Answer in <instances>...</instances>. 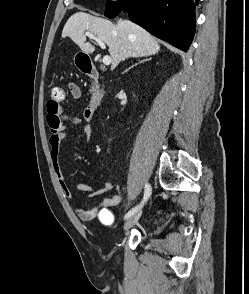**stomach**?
I'll return each mask as SVG.
<instances>
[{
    "mask_svg": "<svg viewBox=\"0 0 249 294\" xmlns=\"http://www.w3.org/2000/svg\"><path fill=\"white\" fill-rule=\"evenodd\" d=\"M78 57H82V55L81 54H77V56H76V60L75 61H78ZM77 63V62H76Z\"/></svg>",
    "mask_w": 249,
    "mask_h": 294,
    "instance_id": "stomach-1",
    "label": "stomach"
}]
</instances>
